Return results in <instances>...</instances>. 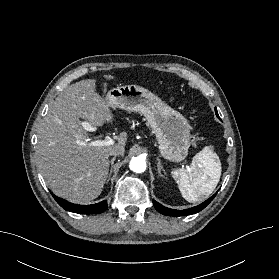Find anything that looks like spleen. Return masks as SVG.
Wrapping results in <instances>:
<instances>
[{
	"label": "spleen",
	"instance_id": "spleen-1",
	"mask_svg": "<svg viewBox=\"0 0 279 279\" xmlns=\"http://www.w3.org/2000/svg\"><path fill=\"white\" fill-rule=\"evenodd\" d=\"M185 200L202 201L216 188L221 176V162L210 146L204 147L189 167L172 172Z\"/></svg>",
	"mask_w": 279,
	"mask_h": 279
}]
</instances>
